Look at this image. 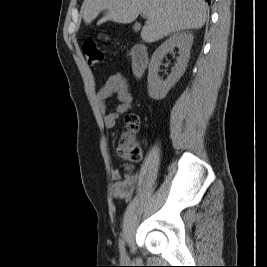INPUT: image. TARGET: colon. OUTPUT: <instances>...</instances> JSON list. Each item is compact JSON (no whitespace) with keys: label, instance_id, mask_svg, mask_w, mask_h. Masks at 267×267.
<instances>
[{"label":"colon","instance_id":"1","mask_svg":"<svg viewBox=\"0 0 267 267\" xmlns=\"http://www.w3.org/2000/svg\"><path fill=\"white\" fill-rule=\"evenodd\" d=\"M83 52L87 62L91 66H95L104 62V54L97 43L88 40L83 44ZM127 131H125L117 144L116 154L118 158L130 162L138 163L141 161L143 152L136 139V132L139 129V119L135 114L126 116Z\"/></svg>","mask_w":267,"mask_h":267}]
</instances>
